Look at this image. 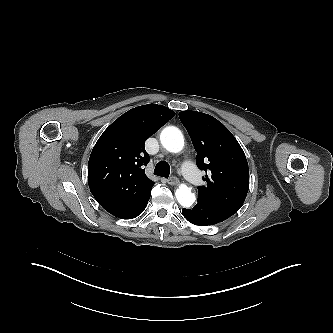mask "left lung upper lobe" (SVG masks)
<instances>
[{"mask_svg": "<svg viewBox=\"0 0 333 333\" xmlns=\"http://www.w3.org/2000/svg\"><path fill=\"white\" fill-rule=\"evenodd\" d=\"M179 117L197 152V166L206 172L203 180L207 185L198 187V199L235 214L249 189L248 163L241 146L221 122L208 114L181 111Z\"/></svg>", "mask_w": 333, "mask_h": 333, "instance_id": "1", "label": "left lung upper lobe"}]
</instances>
